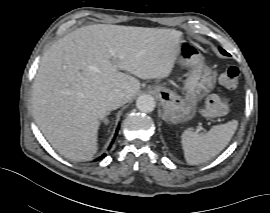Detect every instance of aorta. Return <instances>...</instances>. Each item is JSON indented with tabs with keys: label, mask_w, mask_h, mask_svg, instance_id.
<instances>
[{
	"label": "aorta",
	"mask_w": 270,
	"mask_h": 213,
	"mask_svg": "<svg viewBox=\"0 0 270 213\" xmlns=\"http://www.w3.org/2000/svg\"><path fill=\"white\" fill-rule=\"evenodd\" d=\"M136 106L139 111L149 113L154 110L156 102L153 96L149 94H143L136 100Z\"/></svg>",
	"instance_id": "1"
}]
</instances>
